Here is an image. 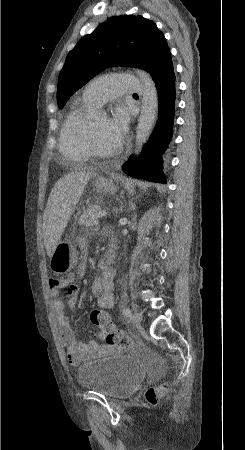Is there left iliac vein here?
I'll return each mask as SVG.
<instances>
[{
  "instance_id": "1",
  "label": "left iliac vein",
  "mask_w": 245,
  "mask_h": 450,
  "mask_svg": "<svg viewBox=\"0 0 245 450\" xmlns=\"http://www.w3.org/2000/svg\"><path fill=\"white\" fill-rule=\"evenodd\" d=\"M133 320L135 323H140L142 320V313H140L139 311H136L133 315Z\"/></svg>"
}]
</instances>
